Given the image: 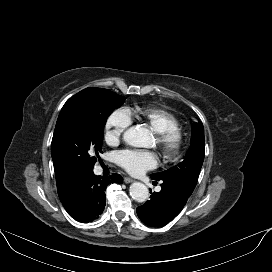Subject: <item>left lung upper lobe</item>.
<instances>
[{
	"label": "left lung upper lobe",
	"mask_w": 272,
	"mask_h": 272,
	"mask_svg": "<svg viewBox=\"0 0 272 272\" xmlns=\"http://www.w3.org/2000/svg\"><path fill=\"white\" fill-rule=\"evenodd\" d=\"M205 153L204 127L201 122L192 125L190 148L178 165L151 175L156 180H168L181 184L193 191L198 181Z\"/></svg>",
	"instance_id": "left-lung-upper-lobe-1"
}]
</instances>
